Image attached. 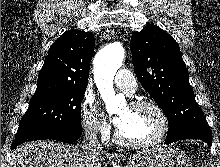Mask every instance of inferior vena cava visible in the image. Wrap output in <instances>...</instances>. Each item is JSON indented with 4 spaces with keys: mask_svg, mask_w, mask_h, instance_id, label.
<instances>
[{
    "mask_svg": "<svg viewBox=\"0 0 220 167\" xmlns=\"http://www.w3.org/2000/svg\"><path fill=\"white\" fill-rule=\"evenodd\" d=\"M82 147L92 153L102 152V145L97 138L96 127H87Z\"/></svg>",
    "mask_w": 220,
    "mask_h": 167,
    "instance_id": "obj_1",
    "label": "inferior vena cava"
}]
</instances>
